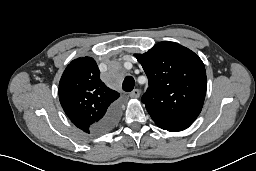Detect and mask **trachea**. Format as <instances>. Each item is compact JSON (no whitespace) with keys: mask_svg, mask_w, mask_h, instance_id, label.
Wrapping results in <instances>:
<instances>
[{"mask_svg":"<svg viewBox=\"0 0 256 171\" xmlns=\"http://www.w3.org/2000/svg\"><path fill=\"white\" fill-rule=\"evenodd\" d=\"M134 86H135L134 78L132 76H126L122 85L123 90L125 92H130L133 90Z\"/></svg>","mask_w":256,"mask_h":171,"instance_id":"obj_1","label":"trachea"}]
</instances>
